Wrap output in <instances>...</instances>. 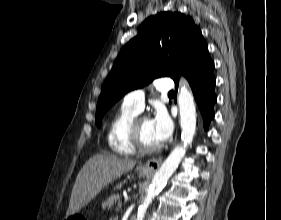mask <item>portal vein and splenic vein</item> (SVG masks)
<instances>
[{
	"instance_id": "18ae733b",
	"label": "portal vein and splenic vein",
	"mask_w": 281,
	"mask_h": 220,
	"mask_svg": "<svg viewBox=\"0 0 281 220\" xmlns=\"http://www.w3.org/2000/svg\"><path fill=\"white\" fill-rule=\"evenodd\" d=\"M122 206V202L121 201H118V204H117V209H120Z\"/></svg>"
}]
</instances>
